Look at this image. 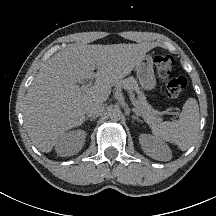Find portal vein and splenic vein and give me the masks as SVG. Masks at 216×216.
Masks as SVG:
<instances>
[{
  "label": "portal vein and splenic vein",
  "instance_id": "obj_1",
  "mask_svg": "<svg viewBox=\"0 0 216 216\" xmlns=\"http://www.w3.org/2000/svg\"><path fill=\"white\" fill-rule=\"evenodd\" d=\"M90 85H91V81H89V83H86V84L82 85V86H81V89H86V88H88ZM132 102H134L133 99H132ZM135 102H136V100H135ZM135 106H136V104H135ZM136 108H137V106H136ZM137 109H138V108H137ZM138 113H139V111H138ZM139 114H140V113H139Z\"/></svg>",
  "mask_w": 216,
  "mask_h": 216
}]
</instances>
